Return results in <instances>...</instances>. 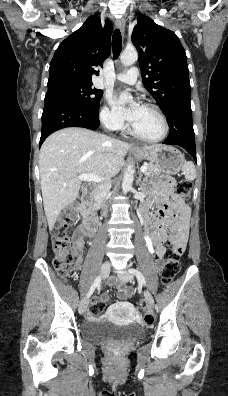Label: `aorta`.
<instances>
[{
	"instance_id": "aorta-1",
	"label": "aorta",
	"mask_w": 228,
	"mask_h": 396,
	"mask_svg": "<svg viewBox=\"0 0 228 396\" xmlns=\"http://www.w3.org/2000/svg\"><path fill=\"white\" fill-rule=\"evenodd\" d=\"M137 59H138V53L134 49L125 50L120 56L121 63L125 66H130L134 64L137 61ZM122 95L128 101L132 99V96L129 93H123ZM133 174H134L133 165H128L125 170L123 176V182H122V190L124 194L129 192V190H131L132 188Z\"/></svg>"
}]
</instances>
